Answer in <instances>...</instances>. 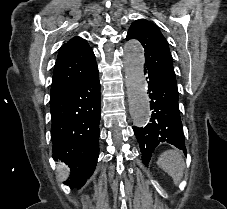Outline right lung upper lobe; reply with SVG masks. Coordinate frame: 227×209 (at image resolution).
Masks as SVG:
<instances>
[{
    "instance_id": "cb5924a9",
    "label": "right lung upper lobe",
    "mask_w": 227,
    "mask_h": 209,
    "mask_svg": "<svg viewBox=\"0 0 227 209\" xmlns=\"http://www.w3.org/2000/svg\"><path fill=\"white\" fill-rule=\"evenodd\" d=\"M96 63L94 53L86 40L74 37L65 43L57 56L53 71V81L50 99H55L76 86L82 81L87 71L82 74L73 75L66 69L71 66L90 67Z\"/></svg>"
}]
</instances>
